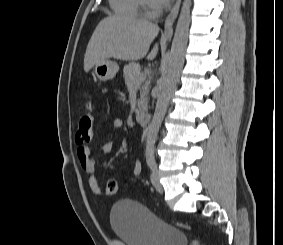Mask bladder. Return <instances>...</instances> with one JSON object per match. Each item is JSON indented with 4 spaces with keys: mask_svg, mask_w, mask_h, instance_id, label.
<instances>
[{
    "mask_svg": "<svg viewBox=\"0 0 283 245\" xmlns=\"http://www.w3.org/2000/svg\"><path fill=\"white\" fill-rule=\"evenodd\" d=\"M110 222L126 245H188L187 235L166 223L147 206L120 200L110 211Z\"/></svg>",
    "mask_w": 283,
    "mask_h": 245,
    "instance_id": "31cf9c89",
    "label": "bladder"
}]
</instances>
